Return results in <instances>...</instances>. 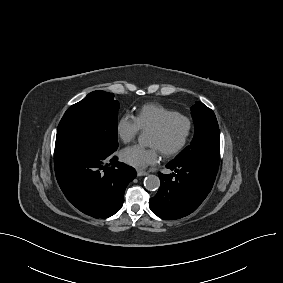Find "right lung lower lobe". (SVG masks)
<instances>
[{
  "instance_id": "98d812e1",
  "label": "right lung lower lobe",
  "mask_w": 283,
  "mask_h": 283,
  "mask_svg": "<svg viewBox=\"0 0 283 283\" xmlns=\"http://www.w3.org/2000/svg\"><path fill=\"white\" fill-rule=\"evenodd\" d=\"M54 164L66 198L94 218L110 217L119 211L125 188L137 175L134 168L119 162L114 152L82 142L55 147Z\"/></svg>"
}]
</instances>
